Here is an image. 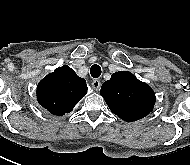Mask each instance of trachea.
Listing matches in <instances>:
<instances>
[{
  "label": "trachea",
  "mask_w": 190,
  "mask_h": 165,
  "mask_svg": "<svg viewBox=\"0 0 190 165\" xmlns=\"http://www.w3.org/2000/svg\"><path fill=\"white\" fill-rule=\"evenodd\" d=\"M90 74L93 78H98L101 75V67L97 64L92 65Z\"/></svg>",
  "instance_id": "obj_1"
}]
</instances>
